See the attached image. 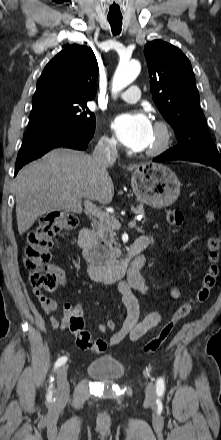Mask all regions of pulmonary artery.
I'll return each instance as SVG.
<instances>
[{
	"label": "pulmonary artery",
	"instance_id": "pulmonary-artery-1",
	"mask_svg": "<svg viewBox=\"0 0 221 440\" xmlns=\"http://www.w3.org/2000/svg\"><path fill=\"white\" fill-rule=\"evenodd\" d=\"M119 98L128 103H134L140 98V89L138 86H131L126 91L119 94Z\"/></svg>",
	"mask_w": 221,
	"mask_h": 440
}]
</instances>
